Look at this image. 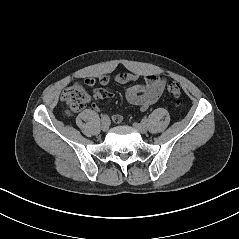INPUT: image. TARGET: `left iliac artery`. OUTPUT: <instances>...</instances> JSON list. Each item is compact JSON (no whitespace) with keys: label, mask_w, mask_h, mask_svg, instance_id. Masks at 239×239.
Segmentation results:
<instances>
[{"label":"left iliac artery","mask_w":239,"mask_h":239,"mask_svg":"<svg viewBox=\"0 0 239 239\" xmlns=\"http://www.w3.org/2000/svg\"><path fill=\"white\" fill-rule=\"evenodd\" d=\"M142 123L146 125L148 123V120L147 119H143Z\"/></svg>","instance_id":"44dca946"}]
</instances>
